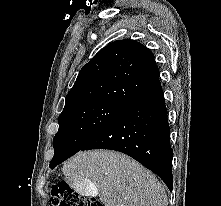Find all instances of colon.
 <instances>
[{
	"label": "colon",
	"mask_w": 221,
	"mask_h": 206,
	"mask_svg": "<svg viewBox=\"0 0 221 206\" xmlns=\"http://www.w3.org/2000/svg\"><path fill=\"white\" fill-rule=\"evenodd\" d=\"M49 202L50 206H103L93 198H81L80 194H73L65 181L52 185Z\"/></svg>",
	"instance_id": "obj_1"
}]
</instances>
